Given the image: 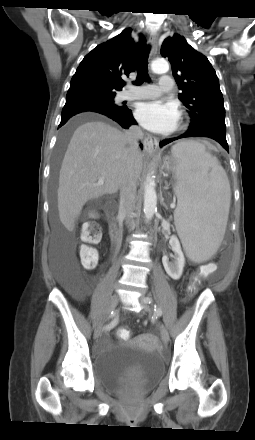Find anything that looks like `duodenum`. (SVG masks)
<instances>
[{
	"label": "duodenum",
	"mask_w": 255,
	"mask_h": 440,
	"mask_svg": "<svg viewBox=\"0 0 255 440\" xmlns=\"http://www.w3.org/2000/svg\"><path fill=\"white\" fill-rule=\"evenodd\" d=\"M110 232H111V236H112L113 240L118 244L121 239V232H120V229L118 228L116 222L111 223Z\"/></svg>",
	"instance_id": "1"
}]
</instances>
